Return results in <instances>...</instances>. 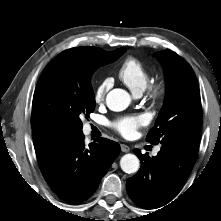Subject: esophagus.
Returning a JSON list of instances; mask_svg holds the SVG:
<instances>
[{
	"instance_id": "34e87169",
	"label": "esophagus",
	"mask_w": 221,
	"mask_h": 221,
	"mask_svg": "<svg viewBox=\"0 0 221 221\" xmlns=\"http://www.w3.org/2000/svg\"><path fill=\"white\" fill-rule=\"evenodd\" d=\"M121 151L127 153L130 151V147L125 144H121Z\"/></svg>"
}]
</instances>
